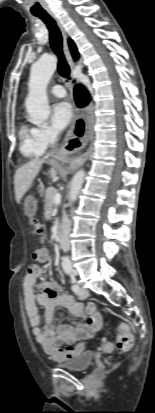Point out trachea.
<instances>
[{
    "label": "trachea",
    "mask_w": 155,
    "mask_h": 413,
    "mask_svg": "<svg viewBox=\"0 0 155 413\" xmlns=\"http://www.w3.org/2000/svg\"><path fill=\"white\" fill-rule=\"evenodd\" d=\"M33 15L43 20L49 29L50 45L54 53L58 56V72L66 81L69 80L70 69L63 55L62 36L56 22L48 13H35Z\"/></svg>",
    "instance_id": "1"
}]
</instances>
